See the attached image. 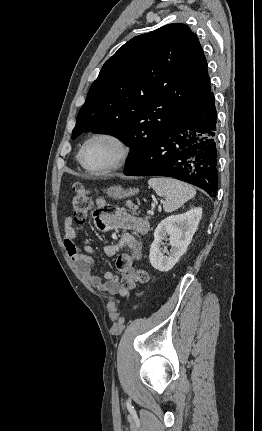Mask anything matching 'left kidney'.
I'll return each mask as SVG.
<instances>
[{
	"instance_id": "5707ae66",
	"label": "left kidney",
	"mask_w": 262,
	"mask_h": 431,
	"mask_svg": "<svg viewBox=\"0 0 262 431\" xmlns=\"http://www.w3.org/2000/svg\"><path fill=\"white\" fill-rule=\"evenodd\" d=\"M201 216L202 209L193 208L186 213L169 216L158 224L149 253L150 263L155 269L166 272L174 267L186 252ZM167 236L171 246L170 252L166 247L161 248V243Z\"/></svg>"
}]
</instances>
